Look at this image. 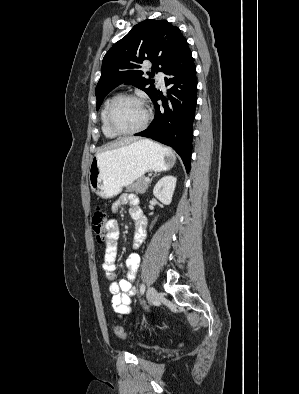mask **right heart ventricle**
Returning a JSON list of instances; mask_svg holds the SVG:
<instances>
[{
  "mask_svg": "<svg viewBox=\"0 0 299 394\" xmlns=\"http://www.w3.org/2000/svg\"><path fill=\"white\" fill-rule=\"evenodd\" d=\"M113 98L114 97H109V98H107L105 100V102L103 104V107H102V110H101V116H100V118H101V129H102L103 134L107 138H115L117 136V135H115L114 133H112L110 131V129L108 128L107 123H106L107 108H108V106H109V104H110V102L112 101Z\"/></svg>",
  "mask_w": 299,
  "mask_h": 394,
  "instance_id": "right-heart-ventricle-1",
  "label": "right heart ventricle"
}]
</instances>
